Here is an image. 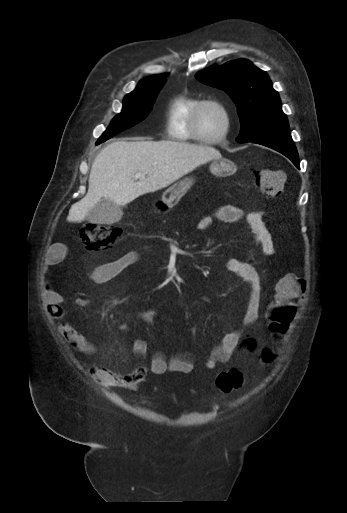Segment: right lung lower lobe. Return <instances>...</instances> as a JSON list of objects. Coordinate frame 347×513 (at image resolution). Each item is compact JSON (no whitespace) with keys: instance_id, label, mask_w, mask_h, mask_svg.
Returning <instances> with one entry per match:
<instances>
[{"instance_id":"1","label":"right lung lower lobe","mask_w":347,"mask_h":513,"mask_svg":"<svg viewBox=\"0 0 347 513\" xmlns=\"http://www.w3.org/2000/svg\"><path fill=\"white\" fill-rule=\"evenodd\" d=\"M96 144L98 145V144H100V142L98 141Z\"/></svg>"}]
</instances>
